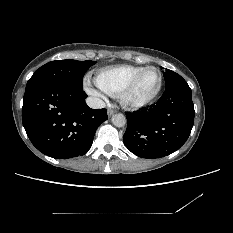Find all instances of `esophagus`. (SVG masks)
Masks as SVG:
<instances>
[{"mask_svg":"<svg viewBox=\"0 0 233 233\" xmlns=\"http://www.w3.org/2000/svg\"><path fill=\"white\" fill-rule=\"evenodd\" d=\"M115 112H116V110H114V109H112V108H109V109L107 110V114H108L109 117H111Z\"/></svg>","mask_w":233,"mask_h":233,"instance_id":"esophagus-1","label":"esophagus"}]
</instances>
